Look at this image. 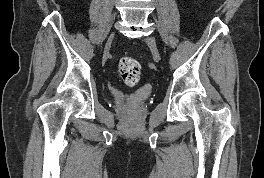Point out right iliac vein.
Segmentation results:
<instances>
[{
	"mask_svg": "<svg viewBox=\"0 0 264 178\" xmlns=\"http://www.w3.org/2000/svg\"><path fill=\"white\" fill-rule=\"evenodd\" d=\"M115 34L111 33V35L109 36L106 45H105V49H104V53L107 54L109 52L110 46L112 44V41L114 39Z\"/></svg>",
	"mask_w": 264,
	"mask_h": 178,
	"instance_id": "obj_1",
	"label": "right iliac vein"
}]
</instances>
